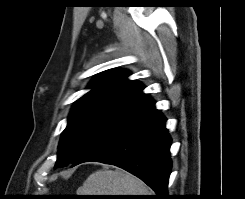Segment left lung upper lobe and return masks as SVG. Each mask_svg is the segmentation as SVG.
<instances>
[{
    "mask_svg": "<svg viewBox=\"0 0 245 199\" xmlns=\"http://www.w3.org/2000/svg\"><path fill=\"white\" fill-rule=\"evenodd\" d=\"M129 75L114 69L93 79L88 87L91 90L75 102L70 113L61 135L56 167L73 163L110 120L144 94V86L129 80Z\"/></svg>",
    "mask_w": 245,
    "mask_h": 199,
    "instance_id": "1",
    "label": "left lung upper lobe"
}]
</instances>
